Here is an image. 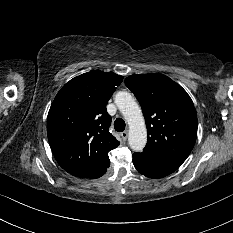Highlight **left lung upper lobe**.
<instances>
[{"mask_svg":"<svg viewBox=\"0 0 233 233\" xmlns=\"http://www.w3.org/2000/svg\"><path fill=\"white\" fill-rule=\"evenodd\" d=\"M125 84L145 117L148 139L143 152L182 164L197 137V114L187 92L158 73L134 74Z\"/></svg>","mask_w":233,"mask_h":233,"instance_id":"left-lung-upper-lobe-1","label":"left lung upper lobe"}]
</instances>
